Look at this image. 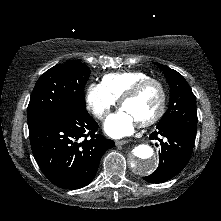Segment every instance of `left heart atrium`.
<instances>
[{"instance_id": "39dd6f15", "label": "left heart atrium", "mask_w": 221, "mask_h": 221, "mask_svg": "<svg viewBox=\"0 0 221 221\" xmlns=\"http://www.w3.org/2000/svg\"><path fill=\"white\" fill-rule=\"evenodd\" d=\"M138 122L124 109L110 115L105 124V132L112 138H121L134 132Z\"/></svg>"}]
</instances>
